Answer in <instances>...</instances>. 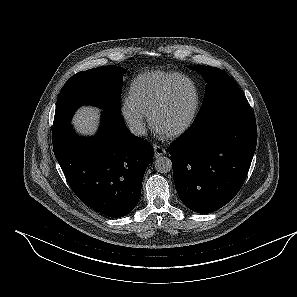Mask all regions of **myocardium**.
I'll return each instance as SVG.
<instances>
[{
  "label": "myocardium",
  "instance_id": "f54148a6",
  "mask_svg": "<svg viewBox=\"0 0 297 297\" xmlns=\"http://www.w3.org/2000/svg\"><path fill=\"white\" fill-rule=\"evenodd\" d=\"M181 81L188 82L190 84V86L192 87L194 99H193L191 111H190L188 117L186 118V120L181 125H179L178 127H176L175 129H173L169 132H160L156 128L155 117L158 114V112L160 110H162V108L167 104L168 100L170 99L173 89ZM199 106H200V94H199V90L197 88L196 83L190 77L179 74L177 77H175L168 84V86L164 90L161 97L157 100V102L150 109L148 116H149V121H150L151 127L156 132L160 133L161 135H163L165 137H168V138L178 137V136L182 135L183 133H185L192 126V124L194 123V121L197 117V114L199 111Z\"/></svg>",
  "mask_w": 297,
  "mask_h": 297
}]
</instances>
